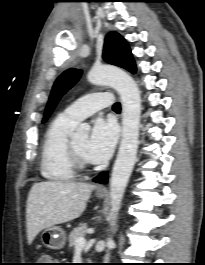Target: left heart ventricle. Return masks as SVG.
Segmentation results:
<instances>
[{
    "mask_svg": "<svg viewBox=\"0 0 205 265\" xmlns=\"http://www.w3.org/2000/svg\"><path fill=\"white\" fill-rule=\"evenodd\" d=\"M88 141V137L87 136H81V137H77L75 139H73L74 145L76 147V149L79 151V153L85 158V147ZM86 159V158H85Z\"/></svg>",
    "mask_w": 205,
    "mask_h": 265,
    "instance_id": "b2bd125f",
    "label": "left heart ventricle"
}]
</instances>
